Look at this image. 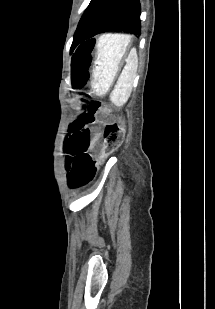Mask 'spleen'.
Segmentation results:
<instances>
[{
  "label": "spleen",
  "mask_w": 215,
  "mask_h": 309,
  "mask_svg": "<svg viewBox=\"0 0 215 309\" xmlns=\"http://www.w3.org/2000/svg\"><path fill=\"white\" fill-rule=\"evenodd\" d=\"M129 58H132L134 62V68L136 72L137 64H138V56H137V50L136 48H131ZM135 74H132L131 76V70H128V68H124L122 70L118 80H117V88L112 92L111 94V100L116 104V106H123L125 102H127L131 90H132V82Z\"/></svg>",
  "instance_id": "obj_1"
}]
</instances>
